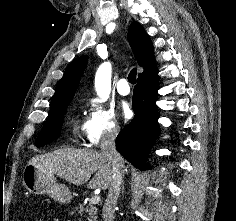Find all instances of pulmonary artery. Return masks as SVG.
<instances>
[{
  "label": "pulmonary artery",
  "mask_w": 236,
  "mask_h": 221,
  "mask_svg": "<svg viewBox=\"0 0 236 221\" xmlns=\"http://www.w3.org/2000/svg\"><path fill=\"white\" fill-rule=\"evenodd\" d=\"M117 91L120 95L126 96L130 93V87L128 85V80L122 78L117 83Z\"/></svg>",
  "instance_id": "obj_1"
}]
</instances>
